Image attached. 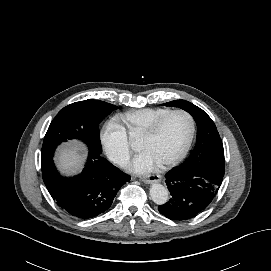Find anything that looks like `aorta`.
Masks as SVG:
<instances>
[{
	"label": "aorta",
	"mask_w": 271,
	"mask_h": 271,
	"mask_svg": "<svg viewBox=\"0 0 271 271\" xmlns=\"http://www.w3.org/2000/svg\"><path fill=\"white\" fill-rule=\"evenodd\" d=\"M150 196L154 203L163 205L168 201V189L159 183H153L150 187Z\"/></svg>",
	"instance_id": "762f6f07"
}]
</instances>
